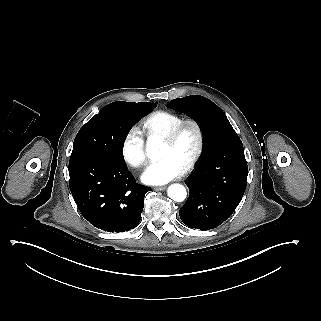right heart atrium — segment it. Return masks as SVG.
Returning <instances> with one entry per match:
<instances>
[{
    "label": "right heart atrium",
    "mask_w": 321,
    "mask_h": 321,
    "mask_svg": "<svg viewBox=\"0 0 321 321\" xmlns=\"http://www.w3.org/2000/svg\"><path fill=\"white\" fill-rule=\"evenodd\" d=\"M122 159L132 167H140L145 162L144 134L139 126L130 127L121 140Z\"/></svg>",
    "instance_id": "obj_1"
}]
</instances>
